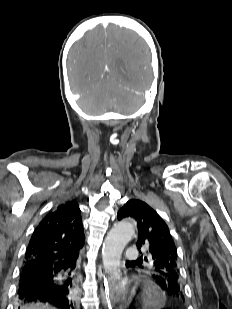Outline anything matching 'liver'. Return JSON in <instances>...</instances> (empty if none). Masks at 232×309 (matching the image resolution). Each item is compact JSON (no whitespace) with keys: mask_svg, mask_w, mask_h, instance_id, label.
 Wrapping results in <instances>:
<instances>
[{"mask_svg":"<svg viewBox=\"0 0 232 309\" xmlns=\"http://www.w3.org/2000/svg\"><path fill=\"white\" fill-rule=\"evenodd\" d=\"M24 309H56L54 307H51L50 305L48 304H35V305H30V306H27L26 308Z\"/></svg>","mask_w":232,"mask_h":309,"instance_id":"liver-1","label":"liver"}]
</instances>
